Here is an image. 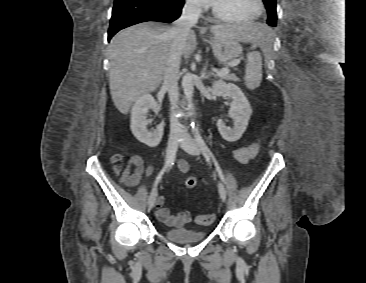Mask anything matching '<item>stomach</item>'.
<instances>
[{"label":"stomach","mask_w":366,"mask_h":283,"mask_svg":"<svg viewBox=\"0 0 366 283\" xmlns=\"http://www.w3.org/2000/svg\"><path fill=\"white\" fill-rule=\"evenodd\" d=\"M210 39L214 56L221 64H227L242 53L240 42L236 39L216 35Z\"/></svg>","instance_id":"stomach-1"}]
</instances>
